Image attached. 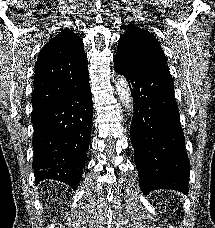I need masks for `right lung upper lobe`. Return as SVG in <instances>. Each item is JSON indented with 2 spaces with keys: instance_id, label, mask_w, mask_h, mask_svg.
I'll return each mask as SVG.
<instances>
[{
  "instance_id": "right-lung-upper-lobe-1",
  "label": "right lung upper lobe",
  "mask_w": 215,
  "mask_h": 228,
  "mask_svg": "<svg viewBox=\"0 0 215 228\" xmlns=\"http://www.w3.org/2000/svg\"><path fill=\"white\" fill-rule=\"evenodd\" d=\"M83 41L63 30L47 42L39 52L35 65L33 113L64 96L70 82L88 75Z\"/></svg>"
}]
</instances>
